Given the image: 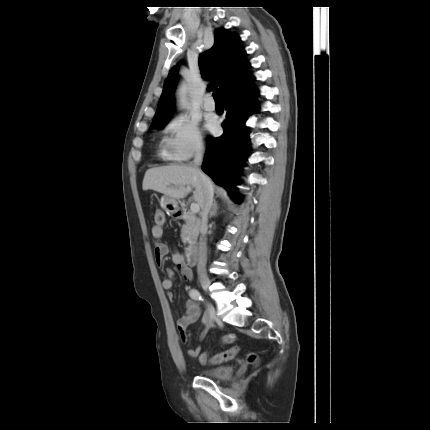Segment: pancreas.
Instances as JSON below:
<instances>
[{"instance_id":"1","label":"pancreas","mask_w":430,"mask_h":430,"mask_svg":"<svg viewBox=\"0 0 430 430\" xmlns=\"http://www.w3.org/2000/svg\"><path fill=\"white\" fill-rule=\"evenodd\" d=\"M184 220L186 224L182 226L181 238L183 243H187L191 242L198 236L200 220L196 218V216L192 212L185 213Z\"/></svg>"}]
</instances>
